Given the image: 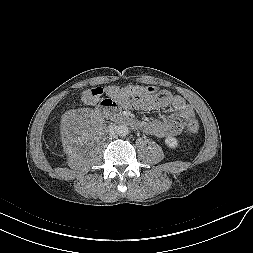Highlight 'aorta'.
Masks as SVG:
<instances>
[{
	"label": "aorta",
	"mask_w": 253,
	"mask_h": 253,
	"mask_svg": "<svg viewBox=\"0 0 253 253\" xmlns=\"http://www.w3.org/2000/svg\"><path fill=\"white\" fill-rule=\"evenodd\" d=\"M115 132L118 136L124 137L129 134V128L126 125H118L115 127Z\"/></svg>",
	"instance_id": "762f6f07"
}]
</instances>
